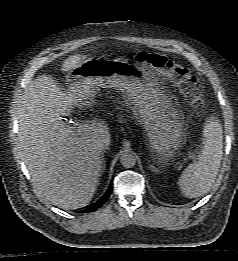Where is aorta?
Returning a JSON list of instances; mask_svg holds the SVG:
<instances>
[{"label":"aorta","mask_w":238,"mask_h":261,"mask_svg":"<svg viewBox=\"0 0 238 261\" xmlns=\"http://www.w3.org/2000/svg\"><path fill=\"white\" fill-rule=\"evenodd\" d=\"M120 162L124 168H132L136 164V157L131 153H125L121 156Z\"/></svg>","instance_id":"aorta-1"}]
</instances>
